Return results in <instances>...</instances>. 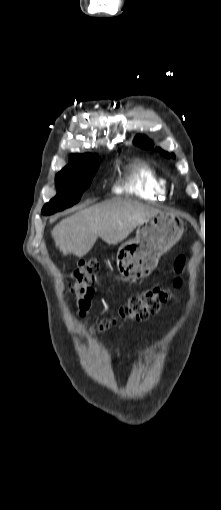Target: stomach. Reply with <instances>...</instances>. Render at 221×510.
Listing matches in <instances>:
<instances>
[{
	"instance_id": "obj_1",
	"label": "stomach",
	"mask_w": 221,
	"mask_h": 510,
	"mask_svg": "<svg viewBox=\"0 0 221 510\" xmlns=\"http://www.w3.org/2000/svg\"><path fill=\"white\" fill-rule=\"evenodd\" d=\"M184 232L179 216L160 211L144 220L136 237L124 242L117 251V268L128 281L149 276L159 258L175 245Z\"/></svg>"
}]
</instances>
